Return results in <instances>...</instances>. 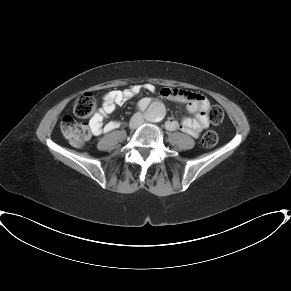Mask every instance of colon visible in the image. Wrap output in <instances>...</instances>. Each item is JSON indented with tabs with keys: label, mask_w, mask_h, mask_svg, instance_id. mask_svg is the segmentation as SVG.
Returning a JSON list of instances; mask_svg holds the SVG:
<instances>
[{
	"label": "colon",
	"mask_w": 291,
	"mask_h": 291,
	"mask_svg": "<svg viewBox=\"0 0 291 291\" xmlns=\"http://www.w3.org/2000/svg\"><path fill=\"white\" fill-rule=\"evenodd\" d=\"M97 107V99L91 93H85L78 97L74 104V114L77 118L83 119L92 115ZM207 115L213 124H220L224 117L223 109L219 105H212ZM61 132L73 145L82 146L91 138V128L88 125L79 123L76 119L67 116L62 119ZM218 141V136L214 131L204 134L202 144L205 147H212Z\"/></svg>",
	"instance_id": "1"
}]
</instances>
